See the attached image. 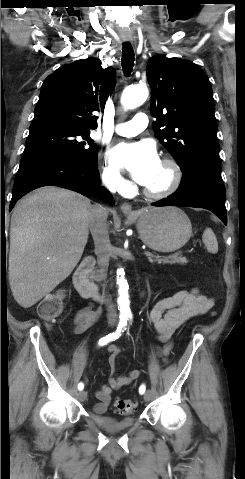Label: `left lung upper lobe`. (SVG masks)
<instances>
[{
  "instance_id": "left-lung-upper-lobe-1",
  "label": "left lung upper lobe",
  "mask_w": 245,
  "mask_h": 479,
  "mask_svg": "<svg viewBox=\"0 0 245 479\" xmlns=\"http://www.w3.org/2000/svg\"><path fill=\"white\" fill-rule=\"evenodd\" d=\"M155 136L181 170L205 157H218L213 91L206 73L191 61L152 57L147 65Z\"/></svg>"
}]
</instances>
